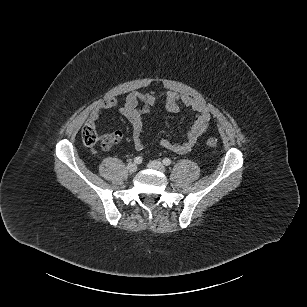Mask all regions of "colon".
<instances>
[{"label": "colon", "instance_id": "colon-1", "mask_svg": "<svg viewBox=\"0 0 307 307\" xmlns=\"http://www.w3.org/2000/svg\"><path fill=\"white\" fill-rule=\"evenodd\" d=\"M121 139V134L119 132L99 134L95 125L87 123L82 129V141L87 146H93L96 143H100L104 150L110 149L113 145L118 143ZM206 143L210 147H215L217 145V139L210 137L206 140Z\"/></svg>", "mask_w": 307, "mask_h": 307}]
</instances>
